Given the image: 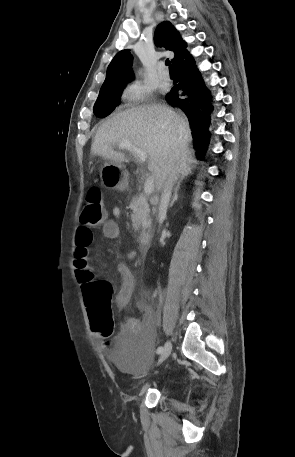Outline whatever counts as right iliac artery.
Masks as SVG:
<instances>
[{
  "label": "right iliac artery",
  "instance_id": "82829eb1",
  "mask_svg": "<svg viewBox=\"0 0 295 457\" xmlns=\"http://www.w3.org/2000/svg\"><path fill=\"white\" fill-rule=\"evenodd\" d=\"M162 350H163V347H159V348L157 349V351H156L157 354H160V353L162 352Z\"/></svg>",
  "mask_w": 295,
  "mask_h": 457
}]
</instances>
